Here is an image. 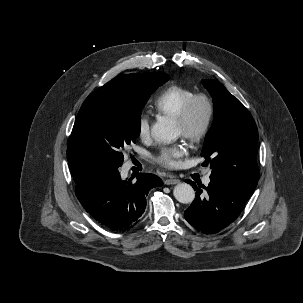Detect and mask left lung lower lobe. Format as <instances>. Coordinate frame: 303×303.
Segmentation results:
<instances>
[{"instance_id":"obj_1","label":"left lung lower lobe","mask_w":303,"mask_h":303,"mask_svg":"<svg viewBox=\"0 0 303 303\" xmlns=\"http://www.w3.org/2000/svg\"><path fill=\"white\" fill-rule=\"evenodd\" d=\"M196 198L185 211V219L198 231L212 234L231 224L241 213L251 192L222 176L211 174L207 187L190 181ZM206 190L203 192L201 189Z\"/></svg>"}]
</instances>
